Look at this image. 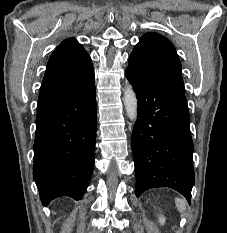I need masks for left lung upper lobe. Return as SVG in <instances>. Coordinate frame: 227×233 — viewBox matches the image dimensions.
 <instances>
[{
	"mask_svg": "<svg viewBox=\"0 0 227 233\" xmlns=\"http://www.w3.org/2000/svg\"><path fill=\"white\" fill-rule=\"evenodd\" d=\"M126 71L142 79L185 95L181 62L173 44L157 33H146L136 44Z\"/></svg>",
	"mask_w": 227,
	"mask_h": 233,
	"instance_id": "5c2ea615",
	"label": "left lung upper lobe"
}]
</instances>
